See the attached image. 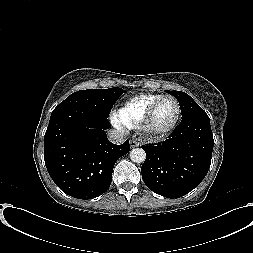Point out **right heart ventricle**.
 I'll return each instance as SVG.
<instances>
[{"instance_id":"obj_1","label":"right heart ventricle","mask_w":253,"mask_h":253,"mask_svg":"<svg viewBox=\"0 0 253 253\" xmlns=\"http://www.w3.org/2000/svg\"><path fill=\"white\" fill-rule=\"evenodd\" d=\"M161 94L143 93L131 97L117 111L116 119L118 123L126 128H137L140 126L144 116L153 102L158 99Z\"/></svg>"}]
</instances>
